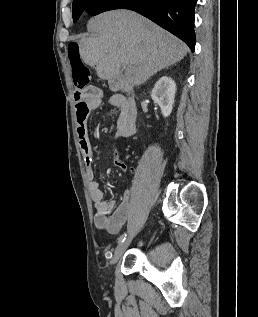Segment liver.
Instances as JSON below:
<instances>
[{
  "label": "liver",
  "mask_w": 258,
  "mask_h": 317,
  "mask_svg": "<svg viewBox=\"0 0 258 317\" xmlns=\"http://www.w3.org/2000/svg\"><path fill=\"white\" fill-rule=\"evenodd\" d=\"M87 28L93 34L80 38V56L109 84L123 80L121 64H133L128 82L137 86L188 52L182 40L133 10L102 12Z\"/></svg>",
  "instance_id": "1"
}]
</instances>
